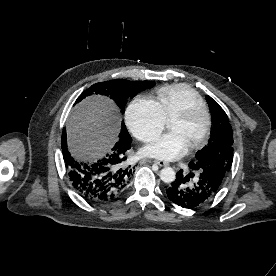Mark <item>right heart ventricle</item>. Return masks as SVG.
I'll return each mask as SVG.
<instances>
[{
	"label": "right heart ventricle",
	"instance_id": "right-heart-ventricle-1",
	"mask_svg": "<svg viewBox=\"0 0 276 276\" xmlns=\"http://www.w3.org/2000/svg\"><path fill=\"white\" fill-rule=\"evenodd\" d=\"M155 102L166 120L192 105L206 107L201 95L186 84H172L158 88L155 91Z\"/></svg>",
	"mask_w": 276,
	"mask_h": 276
}]
</instances>
